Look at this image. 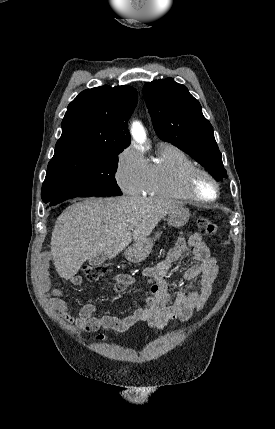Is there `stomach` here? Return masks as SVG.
<instances>
[{
  "label": "stomach",
  "mask_w": 275,
  "mask_h": 429,
  "mask_svg": "<svg viewBox=\"0 0 275 429\" xmlns=\"http://www.w3.org/2000/svg\"><path fill=\"white\" fill-rule=\"evenodd\" d=\"M189 217V210L180 206L168 214V223L174 227H181L188 222ZM159 237L160 233H156L152 238H145L144 240L135 242L125 252L127 260L134 263L143 261L151 252L154 241Z\"/></svg>",
  "instance_id": "1"
}]
</instances>
